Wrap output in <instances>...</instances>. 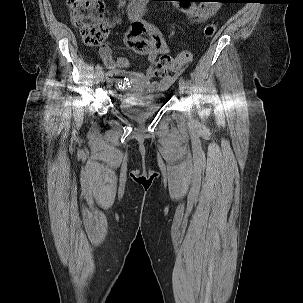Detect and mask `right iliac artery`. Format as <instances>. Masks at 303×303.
Returning a JSON list of instances; mask_svg holds the SVG:
<instances>
[{
  "label": "right iliac artery",
  "mask_w": 303,
  "mask_h": 303,
  "mask_svg": "<svg viewBox=\"0 0 303 303\" xmlns=\"http://www.w3.org/2000/svg\"><path fill=\"white\" fill-rule=\"evenodd\" d=\"M112 74L113 73L111 71H107L106 74H105V76H106V78H108L109 76H112Z\"/></svg>",
  "instance_id": "82829eb1"
}]
</instances>
